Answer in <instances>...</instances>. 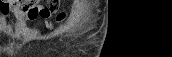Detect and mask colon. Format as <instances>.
Wrapping results in <instances>:
<instances>
[{
	"label": "colon",
	"instance_id": "5ec220e1",
	"mask_svg": "<svg viewBox=\"0 0 172 57\" xmlns=\"http://www.w3.org/2000/svg\"><path fill=\"white\" fill-rule=\"evenodd\" d=\"M51 11H55V8H53L52 6H50L48 8H43V9H39L37 7H30V8L25 7L24 8V12L29 15H36L38 13H47V12H51ZM64 18H65V14L61 13L58 15L57 21L61 22L64 20Z\"/></svg>",
	"mask_w": 172,
	"mask_h": 57
}]
</instances>
